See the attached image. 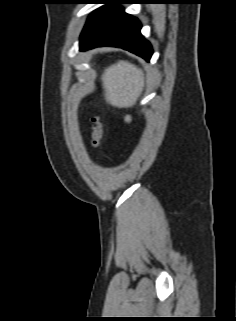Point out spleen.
<instances>
[{"label": "spleen", "instance_id": "obj_1", "mask_svg": "<svg viewBox=\"0 0 236 321\" xmlns=\"http://www.w3.org/2000/svg\"><path fill=\"white\" fill-rule=\"evenodd\" d=\"M102 82L106 101L117 107L133 106L143 89L141 70L126 61L108 67Z\"/></svg>", "mask_w": 236, "mask_h": 321}]
</instances>
